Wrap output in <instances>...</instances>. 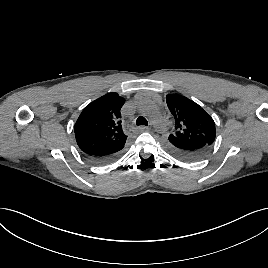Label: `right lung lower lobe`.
I'll return each mask as SVG.
<instances>
[{"label": "right lung lower lobe", "mask_w": 268, "mask_h": 268, "mask_svg": "<svg viewBox=\"0 0 268 268\" xmlns=\"http://www.w3.org/2000/svg\"><path fill=\"white\" fill-rule=\"evenodd\" d=\"M123 148L111 151L109 153H104V154H94V155H90V154H86L84 153L89 159L98 162V163H109L113 160H115L121 153V150Z\"/></svg>", "instance_id": "right-lung-lower-lobe-1"}]
</instances>
